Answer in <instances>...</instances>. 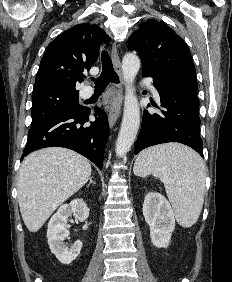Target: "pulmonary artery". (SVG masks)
<instances>
[{
	"label": "pulmonary artery",
	"mask_w": 232,
	"mask_h": 282,
	"mask_svg": "<svg viewBox=\"0 0 232 282\" xmlns=\"http://www.w3.org/2000/svg\"><path fill=\"white\" fill-rule=\"evenodd\" d=\"M145 83L150 87L151 91L153 92V94L158 97V92L157 90L155 89V87L153 85L150 84L149 81H145ZM93 94V91L90 87H86L82 90L81 92V97L84 98V99H87L89 97H91Z\"/></svg>",
	"instance_id": "obj_1"
}]
</instances>
